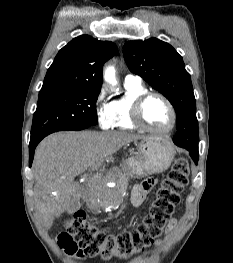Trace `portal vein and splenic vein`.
Here are the masks:
<instances>
[{"mask_svg": "<svg viewBox=\"0 0 233 263\" xmlns=\"http://www.w3.org/2000/svg\"><path fill=\"white\" fill-rule=\"evenodd\" d=\"M100 164H96V165H94L93 167H92V169H96L97 168V166H99Z\"/></svg>", "mask_w": 233, "mask_h": 263, "instance_id": "18ae733b", "label": "portal vein and splenic vein"}]
</instances>
